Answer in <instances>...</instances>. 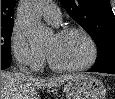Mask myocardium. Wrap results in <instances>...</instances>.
Segmentation results:
<instances>
[{
  "label": "myocardium",
  "mask_w": 115,
  "mask_h": 99,
  "mask_svg": "<svg viewBox=\"0 0 115 99\" xmlns=\"http://www.w3.org/2000/svg\"><path fill=\"white\" fill-rule=\"evenodd\" d=\"M69 34H79L87 41L90 50L88 59L85 62L75 66H59L55 64L46 54L49 67L57 72H78L90 68L96 62L98 56L97 45L94 39L86 30L77 27L65 28L60 30L56 35L65 36Z\"/></svg>",
  "instance_id": "myocardium-1"
}]
</instances>
